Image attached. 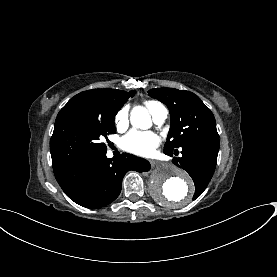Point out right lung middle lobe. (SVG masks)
<instances>
[{"instance_id":"dd1d6c3e","label":"right lung middle lobe","mask_w":277,"mask_h":277,"mask_svg":"<svg viewBox=\"0 0 277 277\" xmlns=\"http://www.w3.org/2000/svg\"><path fill=\"white\" fill-rule=\"evenodd\" d=\"M114 118L99 117L78 110H71L56 119L50 141L53 167L72 159L107 150L103 138L116 133Z\"/></svg>"}]
</instances>
